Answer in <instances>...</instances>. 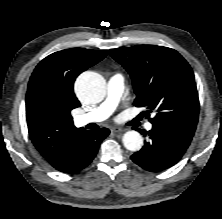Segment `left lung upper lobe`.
Segmentation results:
<instances>
[{"mask_svg":"<svg viewBox=\"0 0 222 219\" xmlns=\"http://www.w3.org/2000/svg\"><path fill=\"white\" fill-rule=\"evenodd\" d=\"M110 54L132 78L137 96L134 105L149 109L147 114L156 112L149 121L193 137L199 98L187 61L177 51L155 45L111 49Z\"/></svg>","mask_w":222,"mask_h":219,"instance_id":"obj_1","label":"left lung upper lobe"}]
</instances>
